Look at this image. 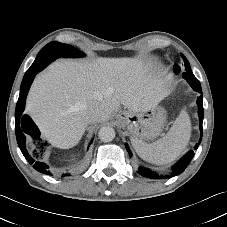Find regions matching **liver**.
<instances>
[{"label":"liver","mask_w":227,"mask_h":227,"mask_svg":"<svg viewBox=\"0 0 227 227\" xmlns=\"http://www.w3.org/2000/svg\"><path fill=\"white\" fill-rule=\"evenodd\" d=\"M168 77L151 61L137 58L63 60L39 74L29 91L26 111L53 146H75L90 122H103L124 105L146 112L169 94ZM97 109L89 121L86 108Z\"/></svg>","instance_id":"liver-1"}]
</instances>
